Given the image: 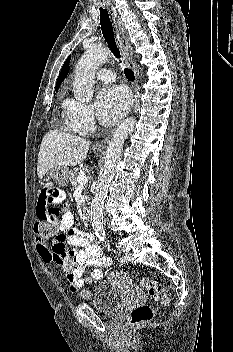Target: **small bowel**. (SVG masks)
I'll return each instance as SVG.
<instances>
[{
  "instance_id": "small-bowel-1",
  "label": "small bowel",
  "mask_w": 233,
  "mask_h": 352,
  "mask_svg": "<svg viewBox=\"0 0 233 352\" xmlns=\"http://www.w3.org/2000/svg\"><path fill=\"white\" fill-rule=\"evenodd\" d=\"M65 192L55 186L40 189L37 202L38 221H47L59 231L51 245L36 239L37 251L45 263L60 269L72 292L102 278L101 268L111 260L104 256L94 236L73 228L74 217L65 203ZM94 269L85 276L86 269Z\"/></svg>"
}]
</instances>
